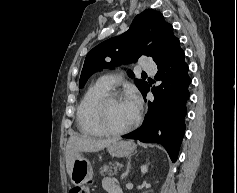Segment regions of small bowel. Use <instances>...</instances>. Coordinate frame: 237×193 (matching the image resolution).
Here are the masks:
<instances>
[{
	"label": "small bowel",
	"mask_w": 237,
	"mask_h": 193,
	"mask_svg": "<svg viewBox=\"0 0 237 193\" xmlns=\"http://www.w3.org/2000/svg\"><path fill=\"white\" fill-rule=\"evenodd\" d=\"M103 187L108 191V193H121L117 184L110 178H105L103 180Z\"/></svg>",
	"instance_id": "obj_1"
}]
</instances>
